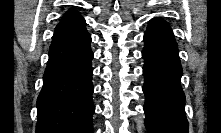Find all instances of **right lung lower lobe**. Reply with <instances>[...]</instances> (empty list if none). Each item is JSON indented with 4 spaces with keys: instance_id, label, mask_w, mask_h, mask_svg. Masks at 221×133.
<instances>
[{
    "instance_id": "obj_1",
    "label": "right lung lower lobe",
    "mask_w": 221,
    "mask_h": 133,
    "mask_svg": "<svg viewBox=\"0 0 221 133\" xmlns=\"http://www.w3.org/2000/svg\"><path fill=\"white\" fill-rule=\"evenodd\" d=\"M91 37L52 42L37 99L36 133H92Z\"/></svg>"
}]
</instances>
